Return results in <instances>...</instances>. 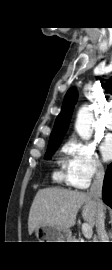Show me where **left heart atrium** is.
I'll use <instances>...</instances> for the list:
<instances>
[{"mask_svg":"<svg viewBox=\"0 0 112 270\" xmlns=\"http://www.w3.org/2000/svg\"><path fill=\"white\" fill-rule=\"evenodd\" d=\"M101 153L105 160L112 159V137H108L101 145Z\"/></svg>","mask_w":112,"mask_h":270,"instance_id":"obj_1","label":"left heart atrium"}]
</instances>
